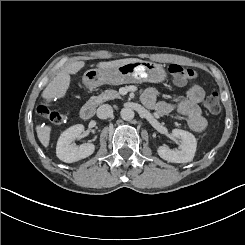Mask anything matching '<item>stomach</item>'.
I'll return each instance as SVG.
<instances>
[{"mask_svg": "<svg viewBox=\"0 0 245 245\" xmlns=\"http://www.w3.org/2000/svg\"><path fill=\"white\" fill-rule=\"evenodd\" d=\"M166 68L155 62L141 61L128 63L115 69H91L83 74L84 86L93 91L102 84H128L149 82L161 84L167 81Z\"/></svg>", "mask_w": 245, "mask_h": 245, "instance_id": "obj_1", "label": "stomach"}]
</instances>
